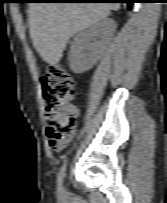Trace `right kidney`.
<instances>
[{"label":"right kidney","instance_id":"1","mask_svg":"<svg viewBox=\"0 0 167 203\" xmlns=\"http://www.w3.org/2000/svg\"><path fill=\"white\" fill-rule=\"evenodd\" d=\"M115 30V22L110 18H104L78 33L69 52L71 70L76 74L90 70L105 50Z\"/></svg>","mask_w":167,"mask_h":203}]
</instances>
